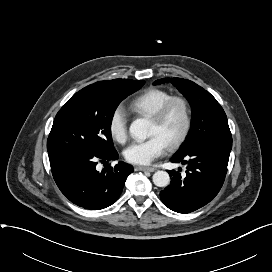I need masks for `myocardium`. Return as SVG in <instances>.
<instances>
[{
  "mask_svg": "<svg viewBox=\"0 0 272 272\" xmlns=\"http://www.w3.org/2000/svg\"><path fill=\"white\" fill-rule=\"evenodd\" d=\"M175 104L180 105L182 108L183 127L178 136L168 144V148L171 150L178 148L186 140L191 131L192 112L188 100L182 96H171L169 99L163 102L150 116L152 121L161 122L169 109Z\"/></svg>",
  "mask_w": 272,
  "mask_h": 272,
  "instance_id": "myocardium-1",
  "label": "myocardium"
}]
</instances>
